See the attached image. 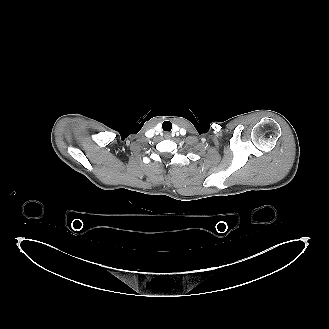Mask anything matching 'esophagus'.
Masks as SVG:
<instances>
[{"label": "esophagus", "mask_w": 329, "mask_h": 329, "mask_svg": "<svg viewBox=\"0 0 329 329\" xmlns=\"http://www.w3.org/2000/svg\"><path fill=\"white\" fill-rule=\"evenodd\" d=\"M164 137H165L166 139H170V138H171V134H170L169 132H166V133L164 134Z\"/></svg>", "instance_id": "34e87169"}]
</instances>
